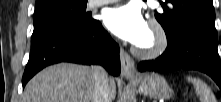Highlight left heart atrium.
Segmentation results:
<instances>
[{
    "instance_id": "1",
    "label": "left heart atrium",
    "mask_w": 221,
    "mask_h": 102,
    "mask_svg": "<svg viewBox=\"0 0 221 102\" xmlns=\"http://www.w3.org/2000/svg\"><path fill=\"white\" fill-rule=\"evenodd\" d=\"M106 27L116 36L139 45L148 31L140 10L131 5L109 9L104 16Z\"/></svg>"
}]
</instances>
